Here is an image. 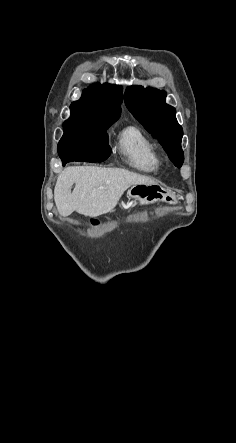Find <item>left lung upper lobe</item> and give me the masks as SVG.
<instances>
[{"instance_id":"1","label":"left lung upper lobe","mask_w":236,"mask_h":443,"mask_svg":"<svg viewBox=\"0 0 236 443\" xmlns=\"http://www.w3.org/2000/svg\"><path fill=\"white\" fill-rule=\"evenodd\" d=\"M166 92L156 88L130 86L125 92V103L134 117L157 138L178 168L184 154L181 148L183 129L176 120V110L165 103Z\"/></svg>"}]
</instances>
